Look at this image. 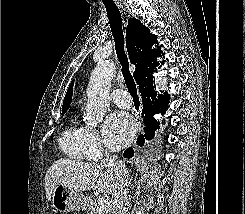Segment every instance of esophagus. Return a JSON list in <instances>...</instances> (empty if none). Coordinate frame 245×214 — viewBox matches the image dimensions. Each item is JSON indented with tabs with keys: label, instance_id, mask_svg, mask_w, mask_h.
I'll list each match as a JSON object with an SVG mask.
<instances>
[{
	"label": "esophagus",
	"instance_id": "1",
	"mask_svg": "<svg viewBox=\"0 0 245 214\" xmlns=\"http://www.w3.org/2000/svg\"><path fill=\"white\" fill-rule=\"evenodd\" d=\"M142 133H143V131H142V128L140 127V128H139V133H138V134H142ZM132 147H133L134 150H137V149H138V146H137L136 141L132 144Z\"/></svg>",
	"mask_w": 245,
	"mask_h": 214
}]
</instances>
